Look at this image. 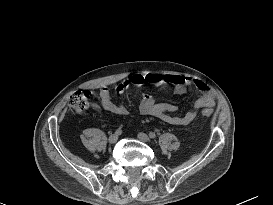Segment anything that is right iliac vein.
<instances>
[{"mask_svg":"<svg viewBox=\"0 0 273 205\" xmlns=\"http://www.w3.org/2000/svg\"><path fill=\"white\" fill-rule=\"evenodd\" d=\"M118 138H119V135L115 133V134L110 135L108 141L110 143H115L118 140Z\"/></svg>","mask_w":273,"mask_h":205,"instance_id":"obj_1","label":"right iliac vein"}]
</instances>
